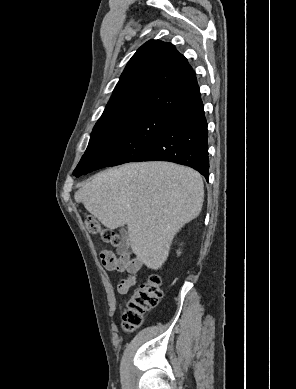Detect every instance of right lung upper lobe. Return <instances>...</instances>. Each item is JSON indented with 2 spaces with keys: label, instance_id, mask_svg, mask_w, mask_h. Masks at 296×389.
Masks as SVG:
<instances>
[{
  "label": "right lung upper lobe",
  "instance_id": "obj_1",
  "mask_svg": "<svg viewBox=\"0 0 296 389\" xmlns=\"http://www.w3.org/2000/svg\"><path fill=\"white\" fill-rule=\"evenodd\" d=\"M202 105L187 59L171 43L150 40L128 62L101 118L157 113L176 119Z\"/></svg>",
  "mask_w": 296,
  "mask_h": 389
}]
</instances>
